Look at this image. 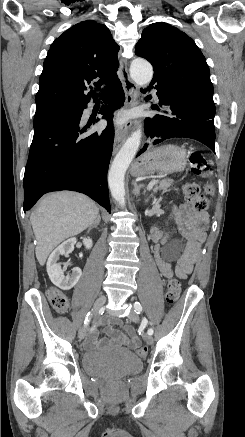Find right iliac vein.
I'll use <instances>...</instances> for the list:
<instances>
[{"label":"right iliac vein","instance_id":"1","mask_svg":"<svg viewBox=\"0 0 245 437\" xmlns=\"http://www.w3.org/2000/svg\"><path fill=\"white\" fill-rule=\"evenodd\" d=\"M105 302H106V297L105 296H101V297H99L97 300H96V302H95V304H94V307H93V313L95 314L104 304H105ZM85 325L84 326H82L80 329H79V332H78V336H79V338L80 339H83L84 338V336H85V334H86V329H85Z\"/></svg>","mask_w":245,"mask_h":437}]
</instances>
